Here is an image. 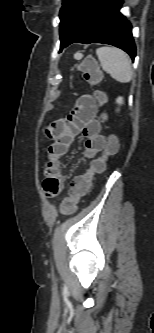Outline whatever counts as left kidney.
Segmentation results:
<instances>
[{
    "label": "left kidney",
    "instance_id": "1",
    "mask_svg": "<svg viewBox=\"0 0 154 333\" xmlns=\"http://www.w3.org/2000/svg\"><path fill=\"white\" fill-rule=\"evenodd\" d=\"M116 102L121 105L123 103V98L122 97H118Z\"/></svg>",
    "mask_w": 154,
    "mask_h": 333
}]
</instances>
